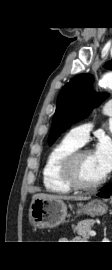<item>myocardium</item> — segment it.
<instances>
[{
    "instance_id": "obj_1",
    "label": "myocardium",
    "mask_w": 112,
    "mask_h": 270,
    "mask_svg": "<svg viewBox=\"0 0 112 270\" xmlns=\"http://www.w3.org/2000/svg\"><path fill=\"white\" fill-rule=\"evenodd\" d=\"M91 152L88 149L78 148L64 157L60 164V174L63 181L73 190L90 191L99 188L106 180L103 176L99 181L86 184L80 181L77 173V165L83 154Z\"/></svg>"
}]
</instances>
